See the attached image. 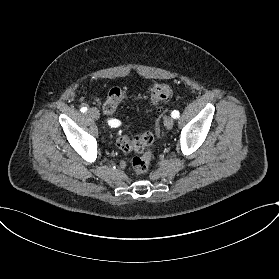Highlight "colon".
I'll return each instance as SVG.
<instances>
[{
	"instance_id": "1",
	"label": "colon",
	"mask_w": 279,
	"mask_h": 279,
	"mask_svg": "<svg viewBox=\"0 0 279 279\" xmlns=\"http://www.w3.org/2000/svg\"><path fill=\"white\" fill-rule=\"evenodd\" d=\"M174 93V87L168 83H157L152 86L148 93L140 96L138 99L143 102L142 108L150 110L158 107L161 103L166 101ZM129 99L127 91L119 87L111 88L103 105V112L112 116L116 111L117 105ZM154 136L152 132H144L141 136L131 138L128 135H122L118 139V146L124 153L135 151L139 155L132 159V169L138 174H145L151 164L152 151L151 145L153 144Z\"/></svg>"
}]
</instances>
